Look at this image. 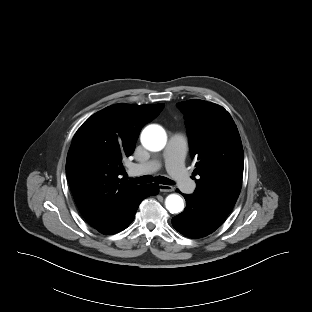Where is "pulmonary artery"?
Returning <instances> with one entry per match:
<instances>
[{
	"label": "pulmonary artery",
	"instance_id": "e3ab8cb5",
	"mask_svg": "<svg viewBox=\"0 0 312 312\" xmlns=\"http://www.w3.org/2000/svg\"><path fill=\"white\" fill-rule=\"evenodd\" d=\"M187 150V141L180 134L172 135L163 151V162L168 173L172 176L175 183L184 192H191L194 183L189 177L183 163L184 155ZM161 162L153 160L145 164H139L134 167L139 172H152L159 169Z\"/></svg>",
	"mask_w": 312,
	"mask_h": 312
}]
</instances>
